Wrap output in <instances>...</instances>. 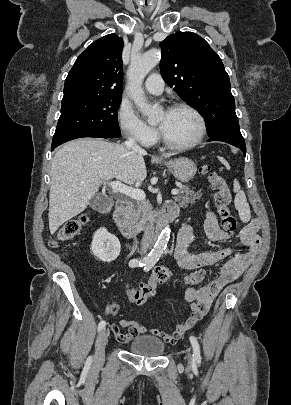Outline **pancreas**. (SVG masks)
Returning a JSON list of instances; mask_svg holds the SVG:
<instances>
[{
    "instance_id": "pancreas-1",
    "label": "pancreas",
    "mask_w": 291,
    "mask_h": 405,
    "mask_svg": "<svg viewBox=\"0 0 291 405\" xmlns=\"http://www.w3.org/2000/svg\"><path fill=\"white\" fill-rule=\"evenodd\" d=\"M202 197L201 193H195L188 187H184L180 190L179 196L175 197L179 206L182 208L187 207L189 204L196 203V200ZM153 217V211L148 201H136L133 205V209L130 213V222L132 227L140 232L145 229V225L151 221Z\"/></svg>"
}]
</instances>
